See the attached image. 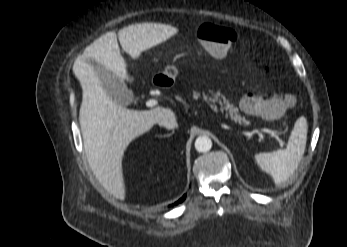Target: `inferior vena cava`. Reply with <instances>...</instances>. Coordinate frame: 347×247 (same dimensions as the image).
<instances>
[{"label":"inferior vena cava","mask_w":347,"mask_h":247,"mask_svg":"<svg viewBox=\"0 0 347 247\" xmlns=\"http://www.w3.org/2000/svg\"><path fill=\"white\" fill-rule=\"evenodd\" d=\"M157 123L160 126H164L165 128L171 130L178 127V123L175 119V116L172 112L167 111L163 115L159 116Z\"/></svg>","instance_id":"602c4592"}]
</instances>
